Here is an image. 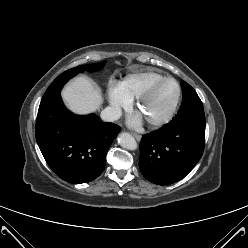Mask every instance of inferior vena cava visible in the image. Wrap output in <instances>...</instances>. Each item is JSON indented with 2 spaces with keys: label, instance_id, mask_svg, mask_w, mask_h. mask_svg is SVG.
Listing matches in <instances>:
<instances>
[{
  "label": "inferior vena cava",
  "instance_id": "602c4592",
  "mask_svg": "<svg viewBox=\"0 0 248 248\" xmlns=\"http://www.w3.org/2000/svg\"><path fill=\"white\" fill-rule=\"evenodd\" d=\"M100 116L106 122H113L120 118L121 111L114 107H106L101 111Z\"/></svg>",
  "mask_w": 248,
  "mask_h": 248
}]
</instances>
